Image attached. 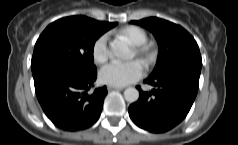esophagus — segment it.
Listing matches in <instances>:
<instances>
[{"instance_id":"1","label":"esophagus","mask_w":238,"mask_h":145,"mask_svg":"<svg viewBox=\"0 0 238 145\" xmlns=\"http://www.w3.org/2000/svg\"><path fill=\"white\" fill-rule=\"evenodd\" d=\"M123 89L124 87H111V86L108 87L109 91H121Z\"/></svg>"}]
</instances>
